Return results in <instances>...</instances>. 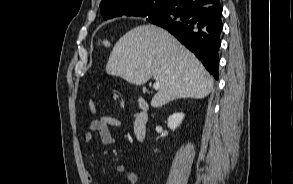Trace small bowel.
Here are the masks:
<instances>
[{"instance_id":"obj_1","label":"small bowel","mask_w":293,"mask_h":184,"mask_svg":"<svg viewBox=\"0 0 293 184\" xmlns=\"http://www.w3.org/2000/svg\"><path fill=\"white\" fill-rule=\"evenodd\" d=\"M123 122L113 116H101L92 120L89 124L90 131L86 132L82 139L85 144H90L93 141V132H97L100 136L101 142L104 145H112L116 139L111 130V127H121ZM117 173L124 174L127 177L128 184H134L136 182V174L130 170L124 164H117L114 167ZM86 179L91 184L94 182V178L89 171H86Z\"/></svg>"}]
</instances>
